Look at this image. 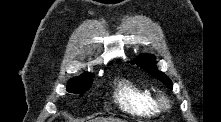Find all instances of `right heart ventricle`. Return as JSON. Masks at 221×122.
<instances>
[{
    "label": "right heart ventricle",
    "mask_w": 221,
    "mask_h": 122,
    "mask_svg": "<svg viewBox=\"0 0 221 122\" xmlns=\"http://www.w3.org/2000/svg\"><path fill=\"white\" fill-rule=\"evenodd\" d=\"M114 99L123 111L132 115L152 117L160 112L152 91L131 79H123L116 84Z\"/></svg>",
    "instance_id": "obj_1"
}]
</instances>
